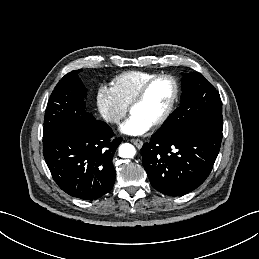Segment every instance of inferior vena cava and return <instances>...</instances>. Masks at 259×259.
<instances>
[{
    "mask_svg": "<svg viewBox=\"0 0 259 259\" xmlns=\"http://www.w3.org/2000/svg\"><path fill=\"white\" fill-rule=\"evenodd\" d=\"M111 121H113V122H115V123H118L119 122V118H113V119H111Z\"/></svg>",
    "mask_w": 259,
    "mask_h": 259,
    "instance_id": "inferior-vena-cava-1",
    "label": "inferior vena cava"
}]
</instances>
